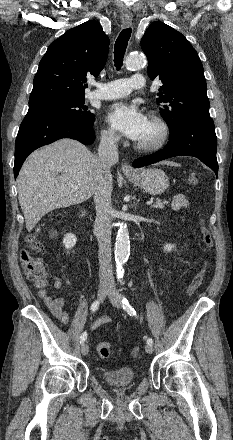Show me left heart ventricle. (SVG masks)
Masks as SVG:
<instances>
[{
  "label": "left heart ventricle",
  "mask_w": 233,
  "mask_h": 440,
  "mask_svg": "<svg viewBox=\"0 0 233 440\" xmlns=\"http://www.w3.org/2000/svg\"><path fill=\"white\" fill-rule=\"evenodd\" d=\"M158 135H159L158 128L148 120L147 126L138 141L152 142L158 137Z\"/></svg>",
  "instance_id": "obj_1"
}]
</instances>
